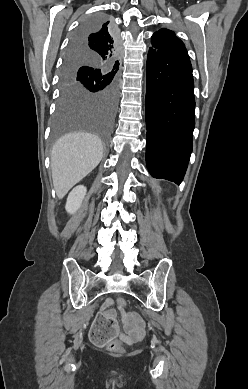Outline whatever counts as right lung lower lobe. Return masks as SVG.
Segmentation results:
<instances>
[{"mask_svg":"<svg viewBox=\"0 0 248 389\" xmlns=\"http://www.w3.org/2000/svg\"><path fill=\"white\" fill-rule=\"evenodd\" d=\"M109 25H110V30H111L112 36H113V38L115 39L116 43H118V42H119V41H118V37H117L116 32L113 30L112 24H109ZM80 40H81V38L78 39L76 42H78V41H80ZM76 46H78V43L70 44L69 50L72 51V52L77 51Z\"/></svg>","mask_w":248,"mask_h":389,"instance_id":"right-lung-lower-lobe-1","label":"right lung lower lobe"}]
</instances>
